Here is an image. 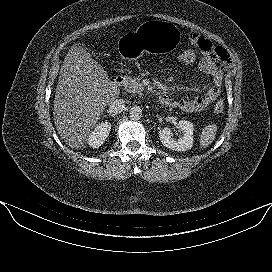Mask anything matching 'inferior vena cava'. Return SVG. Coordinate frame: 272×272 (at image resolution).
<instances>
[{
  "label": "inferior vena cava",
  "mask_w": 272,
  "mask_h": 272,
  "mask_svg": "<svg viewBox=\"0 0 272 272\" xmlns=\"http://www.w3.org/2000/svg\"><path fill=\"white\" fill-rule=\"evenodd\" d=\"M125 109V101L123 99H115L110 104V113L113 115L120 114Z\"/></svg>",
  "instance_id": "inferior-vena-cava-1"
}]
</instances>
